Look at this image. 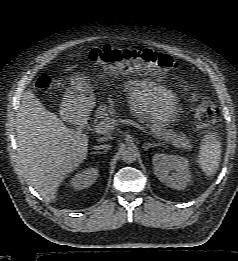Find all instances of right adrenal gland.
Instances as JSON below:
<instances>
[{
    "label": "right adrenal gland",
    "mask_w": 238,
    "mask_h": 261,
    "mask_svg": "<svg viewBox=\"0 0 238 261\" xmlns=\"http://www.w3.org/2000/svg\"><path fill=\"white\" fill-rule=\"evenodd\" d=\"M104 152H106V150L103 151V152H100V151H98V152H94L93 154H102V153H104Z\"/></svg>",
    "instance_id": "right-adrenal-gland-1"
}]
</instances>
